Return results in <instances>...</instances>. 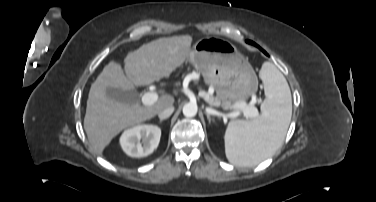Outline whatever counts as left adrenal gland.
Here are the masks:
<instances>
[{
  "instance_id": "1",
  "label": "left adrenal gland",
  "mask_w": 376,
  "mask_h": 202,
  "mask_svg": "<svg viewBox=\"0 0 376 202\" xmlns=\"http://www.w3.org/2000/svg\"><path fill=\"white\" fill-rule=\"evenodd\" d=\"M206 116H207V119H208L209 123H211V118H210L209 113L206 112Z\"/></svg>"
}]
</instances>
